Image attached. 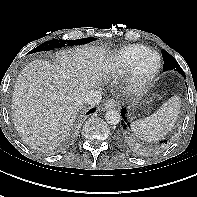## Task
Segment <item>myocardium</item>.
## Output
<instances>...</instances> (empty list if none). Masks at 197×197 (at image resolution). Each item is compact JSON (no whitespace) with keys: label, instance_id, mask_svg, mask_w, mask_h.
<instances>
[{"label":"myocardium","instance_id":"obj_1","mask_svg":"<svg viewBox=\"0 0 197 197\" xmlns=\"http://www.w3.org/2000/svg\"><path fill=\"white\" fill-rule=\"evenodd\" d=\"M150 56L157 57V66L156 68L148 73L143 74L140 72V66L142 62ZM162 60L158 52L149 51L146 54L142 55L136 62L132 65L129 72L126 74L125 78V89L128 93L139 94L142 93L148 85L154 80L161 69Z\"/></svg>","mask_w":197,"mask_h":197}]
</instances>
